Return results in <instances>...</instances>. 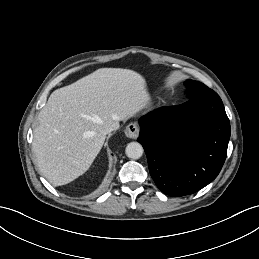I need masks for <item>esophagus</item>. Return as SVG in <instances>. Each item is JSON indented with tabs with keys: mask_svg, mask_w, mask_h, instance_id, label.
<instances>
[{
	"mask_svg": "<svg viewBox=\"0 0 259 259\" xmlns=\"http://www.w3.org/2000/svg\"><path fill=\"white\" fill-rule=\"evenodd\" d=\"M139 127L135 123H130L125 129V136L131 139H136L139 136Z\"/></svg>",
	"mask_w": 259,
	"mask_h": 259,
	"instance_id": "esophagus-1",
	"label": "esophagus"
}]
</instances>
